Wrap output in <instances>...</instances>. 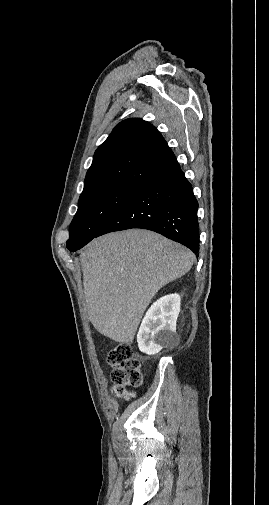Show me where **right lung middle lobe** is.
Returning <instances> with one entry per match:
<instances>
[{"label":"right lung middle lobe","instance_id":"obj_1","mask_svg":"<svg viewBox=\"0 0 269 505\" xmlns=\"http://www.w3.org/2000/svg\"><path fill=\"white\" fill-rule=\"evenodd\" d=\"M139 187L123 184L99 185L84 190L70 225L67 249L76 251L93 238L114 217Z\"/></svg>","mask_w":269,"mask_h":505}]
</instances>
